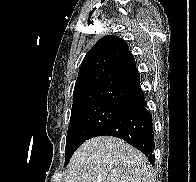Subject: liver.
<instances>
[{
  "mask_svg": "<svg viewBox=\"0 0 196 182\" xmlns=\"http://www.w3.org/2000/svg\"><path fill=\"white\" fill-rule=\"evenodd\" d=\"M64 182H154L147 158L119 138L95 137L73 154Z\"/></svg>",
  "mask_w": 196,
  "mask_h": 182,
  "instance_id": "1",
  "label": "liver"
}]
</instances>
